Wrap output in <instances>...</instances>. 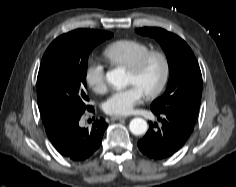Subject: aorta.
<instances>
[{"instance_id": "aorta-1", "label": "aorta", "mask_w": 236, "mask_h": 187, "mask_svg": "<svg viewBox=\"0 0 236 187\" xmlns=\"http://www.w3.org/2000/svg\"><path fill=\"white\" fill-rule=\"evenodd\" d=\"M106 79L108 83L116 89H122L129 84L128 76L122 68H116L108 71L106 74ZM129 129L134 135H142L146 133L148 125L144 119L134 118L130 121Z\"/></svg>"}]
</instances>
